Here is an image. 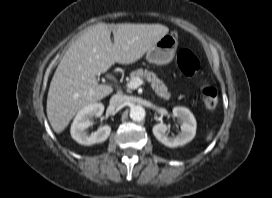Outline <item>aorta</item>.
<instances>
[{
    "label": "aorta",
    "instance_id": "762f6f07",
    "mask_svg": "<svg viewBox=\"0 0 272 198\" xmlns=\"http://www.w3.org/2000/svg\"><path fill=\"white\" fill-rule=\"evenodd\" d=\"M145 114V109L142 106H133L130 109V118L133 121H142L145 118Z\"/></svg>",
    "mask_w": 272,
    "mask_h": 198
}]
</instances>
